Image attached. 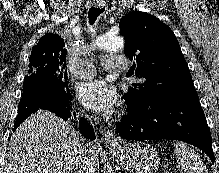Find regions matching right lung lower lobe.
I'll return each mask as SVG.
<instances>
[{
  "mask_svg": "<svg viewBox=\"0 0 219 173\" xmlns=\"http://www.w3.org/2000/svg\"><path fill=\"white\" fill-rule=\"evenodd\" d=\"M71 97L62 95L58 88L41 84L35 89L24 92L18 106V115L14 123V130L32 113L39 109L49 110L63 120L67 121L71 116L76 117L72 110ZM79 129L82 135L90 140L95 139L93 127L84 118L79 121Z\"/></svg>",
  "mask_w": 219,
  "mask_h": 173,
  "instance_id": "1",
  "label": "right lung lower lobe"
}]
</instances>
